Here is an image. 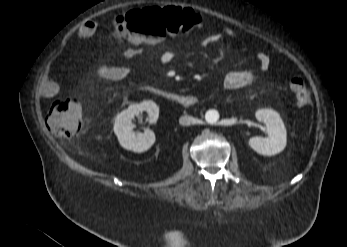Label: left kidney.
I'll list each match as a JSON object with an SVG mask.
<instances>
[{
    "instance_id": "obj_1",
    "label": "left kidney",
    "mask_w": 347,
    "mask_h": 247,
    "mask_svg": "<svg viewBox=\"0 0 347 247\" xmlns=\"http://www.w3.org/2000/svg\"><path fill=\"white\" fill-rule=\"evenodd\" d=\"M256 119L268 128V137H252L249 146L259 154L272 156L281 152L287 143V132L280 115L270 109L256 111Z\"/></svg>"
}]
</instances>
